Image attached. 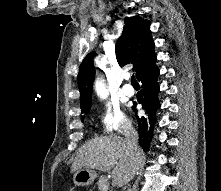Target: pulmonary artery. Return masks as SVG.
Instances as JSON below:
<instances>
[{"instance_id": "1", "label": "pulmonary artery", "mask_w": 221, "mask_h": 191, "mask_svg": "<svg viewBox=\"0 0 221 191\" xmlns=\"http://www.w3.org/2000/svg\"><path fill=\"white\" fill-rule=\"evenodd\" d=\"M122 90H123L124 95L128 97L133 96L135 93L134 88L130 84H125Z\"/></svg>"}]
</instances>
